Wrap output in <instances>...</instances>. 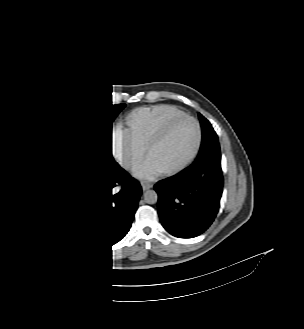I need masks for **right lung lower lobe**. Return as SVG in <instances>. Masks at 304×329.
Returning a JSON list of instances; mask_svg holds the SVG:
<instances>
[{"mask_svg":"<svg viewBox=\"0 0 304 329\" xmlns=\"http://www.w3.org/2000/svg\"><path fill=\"white\" fill-rule=\"evenodd\" d=\"M70 218L93 244L108 247L130 230L141 187L118 164L109 169H78L60 178Z\"/></svg>","mask_w":304,"mask_h":329,"instance_id":"98d812e1","label":"right lung lower lobe"}]
</instances>
